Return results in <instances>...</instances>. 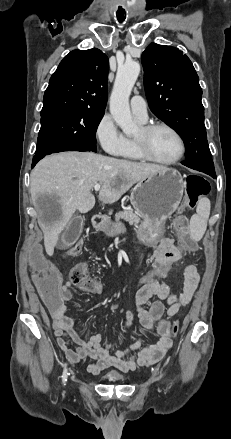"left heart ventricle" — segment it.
<instances>
[{"label": "left heart ventricle", "mask_w": 231, "mask_h": 439, "mask_svg": "<svg viewBox=\"0 0 231 439\" xmlns=\"http://www.w3.org/2000/svg\"><path fill=\"white\" fill-rule=\"evenodd\" d=\"M142 131L135 138H141ZM146 145L151 155L159 160H171L179 152V144L172 133L165 129H157L145 137Z\"/></svg>", "instance_id": "left-heart-ventricle-1"}]
</instances>
